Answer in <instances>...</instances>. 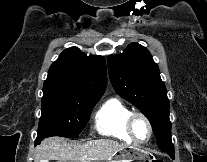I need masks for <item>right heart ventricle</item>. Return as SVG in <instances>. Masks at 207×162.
Instances as JSON below:
<instances>
[{"instance_id": "1", "label": "right heart ventricle", "mask_w": 207, "mask_h": 162, "mask_svg": "<svg viewBox=\"0 0 207 162\" xmlns=\"http://www.w3.org/2000/svg\"><path fill=\"white\" fill-rule=\"evenodd\" d=\"M132 111L119 98L110 97L96 110L94 115V128L104 136L132 142L126 131V122Z\"/></svg>"}]
</instances>
